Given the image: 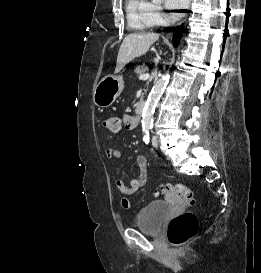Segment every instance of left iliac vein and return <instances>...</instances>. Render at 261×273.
Instances as JSON below:
<instances>
[{
  "label": "left iliac vein",
  "mask_w": 261,
  "mask_h": 273,
  "mask_svg": "<svg viewBox=\"0 0 261 273\" xmlns=\"http://www.w3.org/2000/svg\"><path fill=\"white\" fill-rule=\"evenodd\" d=\"M152 144H153L154 147H157V146H158V140H157L156 137H153V139H152Z\"/></svg>",
  "instance_id": "left-iliac-vein-1"
}]
</instances>
